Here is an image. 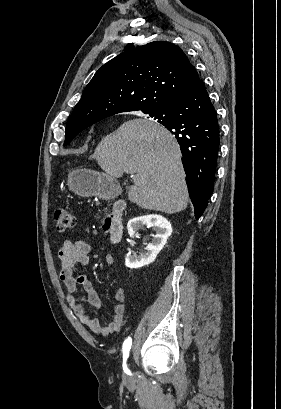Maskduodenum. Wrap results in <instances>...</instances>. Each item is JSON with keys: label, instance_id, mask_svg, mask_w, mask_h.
I'll return each instance as SVG.
<instances>
[{"label": "duodenum", "instance_id": "duodenum-1", "mask_svg": "<svg viewBox=\"0 0 281 409\" xmlns=\"http://www.w3.org/2000/svg\"><path fill=\"white\" fill-rule=\"evenodd\" d=\"M125 208V201H116L103 222V230L107 232L109 238L115 244L120 242L123 235L124 222L122 214L125 211Z\"/></svg>", "mask_w": 281, "mask_h": 409}]
</instances>
